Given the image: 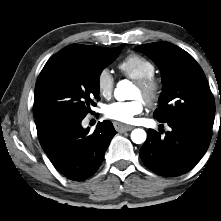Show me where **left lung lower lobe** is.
I'll return each mask as SVG.
<instances>
[{"label": "left lung lower lobe", "mask_w": 221, "mask_h": 221, "mask_svg": "<svg viewBox=\"0 0 221 221\" xmlns=\"http://www.w3.org/2000/svg\"><path fill=\"white\" fill-rule=\"evenodd\" d=\"M167 123L172 131L166 132L165 137L148 130L140 157L156 174L174 177L187 173L200 161L208 149L211 130L187 119Z\"/></svg>", "instance_id": "1"}]
</instances>
